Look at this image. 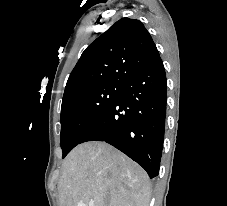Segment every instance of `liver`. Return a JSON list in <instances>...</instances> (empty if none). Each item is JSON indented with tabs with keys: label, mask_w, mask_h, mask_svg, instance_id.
Returning a JSON list of instances; mask_svg holds the SVG:
<instances>
[{
	"label": "liver",
	"mask_w": 227,
	"mask_h": 206,
	"mask_svg": "<svg viewBox=\"0 0 227 206\" xmlns=\"http://www.w3.org/2000/svg\"><path fill=\"white\" fill-rule=\"evenodd\" d=\"M59 206H148L151 185L137 163L105 142L75 147L62 165Z\"/></svg>",
	"instance_id": "1"
}]
</instances>
